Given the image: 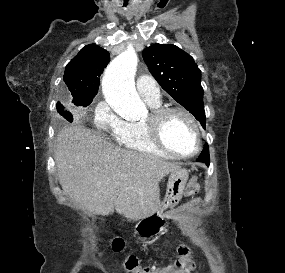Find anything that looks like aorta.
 Segmentation results:
<instances>
[{
	"label": "aorta",
	"mask_w": 285,
	"mask_h": 273,
	"mask_svg": "<svg viewBox=\"0 0 285 273\" xmlns=\"http://www.w3.org/2000/svg\"><path fill=\"white\" fill-rule=\"evenodd\" d=\"M138 56L128 48L106 68L102 79V91L107 103L119 115L128 119H140L147 115L134 85Z\"/></svg>",
	"instance_id": "obj_1"
}]
</instances>
